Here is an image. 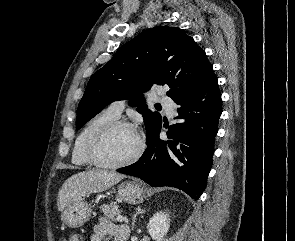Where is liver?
<instances>
[{
    "instance_id": "obj_1",
    "label": "liver",
    "mask_w": 295,
    "mask_h": 241,
    "mask_svg": "<svg viewBox=\"0 0 295 241\" xmlns=\"http://www.w3.org/2000/svg\"><path fill=\"white\" fill-rule=\"evenodd\" d=\"M123 178L122 174L106 170H89L74 174L63 183L58 192V210L63 211L86 195L103 192Z\"/></svg>"
}]
</instances>
